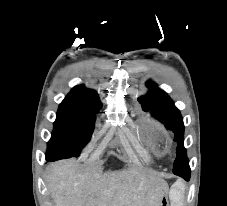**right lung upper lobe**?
<instances>
[{
    "label": "right lung upper lobe",
    "instance_id": "right-lung-upper-lobe-1",
    "mask_svg": "<svg viewBox=\"0 0 227 206\" xmlns=\"http://www.w3.org/2000/svg\"><path fill=\"white\" fill-rule=\"evenodd\" d=\"M66 98L71 99H99L96 91L87 89L82 85L75 86Z\"/></svg>",
    "mask_w": 227,
    "mask_h": 206
}]
</instances>
